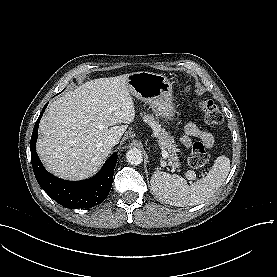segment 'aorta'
I'll return each instance as SVG.
<instances>
[{"mask_svg": "<svg viewBox=\"0 0 277 277\" xmlns=\"http://www.w3.org/2000/svg\"><path fill=\"white\" fill-rule=\"evenodd\" d=\"M126 160L131 165H139L143 161L142 151L138 148H131L126 153Z\"/></svg>", "mask_w": 277, "mask_h": 277, "instance_id": "1", "label": "aorta"}]
</instances>
